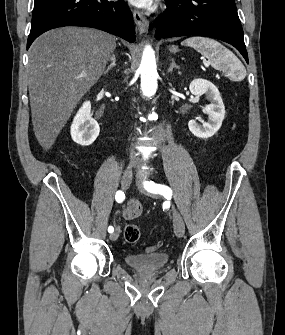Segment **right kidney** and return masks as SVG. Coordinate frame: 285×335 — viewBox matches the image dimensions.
<instances>
[{"instance_id":"right-kidney-1","label":"right kidney","mask_w":285,"mask_h":335,"mask_svg":"<svg viewBox=\"0 0 285 335\" xmlns=\"http://www.w3.org/2000/svg\"><path fill=\"white\" fill-rule=\"evenodd\" d=\"M99 132V124L91 116V104L84 102L72 122L71 138L80 146H90L99 136Z\"/></svg>"}]
</instances>
